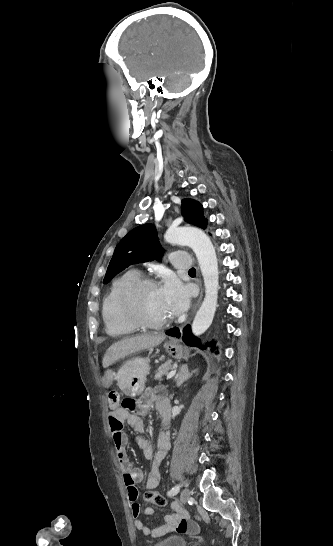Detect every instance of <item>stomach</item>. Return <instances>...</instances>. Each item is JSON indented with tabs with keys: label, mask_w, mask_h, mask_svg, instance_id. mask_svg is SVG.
<instances>
[{
	"label": "stomach",
	"mask_w": 333,
	"mask_h": 546,
	"mask_svg": "<svg viewBox=\"0 0 333 546\" xmlns=\"http://www.w3.org/2000/svg\"><path fill=\"white\" fill-rule=\"evenodd\" d=\"M164 348L173 358L180 359L183 356L182 346L174 339L167 341ZM148 372V359L137 357L126 361L118 369L116 379L124 394L136 396L143 392Z\"/></svg>",
	"instance_id": "1"
}]
</instances>
